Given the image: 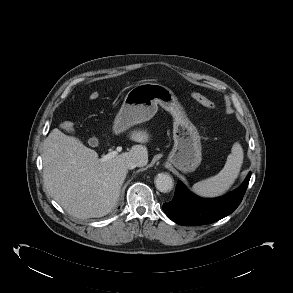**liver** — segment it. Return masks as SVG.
Wrapping results in <instances>:
<instances>
[{
  "label": "liver",
  "mask_w": 293,
  "mask_h": 293,
  "mask_svg": "<svg viewBox=\"0 0 293 293\" xmlns=\"http://www.w3.org/2000/svg\"><path fill=\"white\" fill-rule=\"evenodd\" d=\"M130 139L146 143V131H134ZM129 159L148 163V151L134 145L129 152L103 161L98 153L79 140L53 129L42 145L44 184L51 197L70 215L79 219L107 215L116 205L126 179Z\"/></svg>",
  "instance_id": "obj_1"
}]
</instances>
